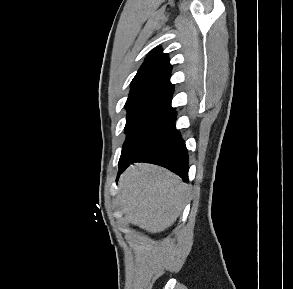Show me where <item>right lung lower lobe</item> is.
<instances>
[{
    "mask_svg": "<svg viewBox=\"0 0 293 289\" xmlns=\"http://www.w3.org/2000/svg\"><path fill=\"white\" fill-rule=\"evenodd\" d=\"M176 112L154 126L131 147L122 150L119 173L130 163L147 162L165 167L188 181V153L175 127Z\"/></svg>",
    "mask_w": 293,
    "mask_h": 289,
    "instance_id": "obj_1",
    "label": "right lung lower lobe"
}]
</instances>
